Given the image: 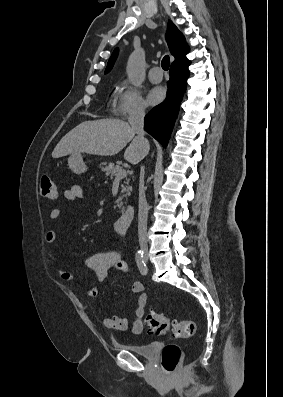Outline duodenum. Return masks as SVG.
I'll use <instances>...</instances> for the list:
<instances>
[{
	"mask_svg": "<svg viewBox=\"0 0 283 397\" xmlns=\"http://www.w3.org/2000/svg\"><path fill=\"white\" fill-rule=\"evenodd\" d=\"M132 217L133 209L128 207L127 210L115 221V231L120 235L126 234L130 228Z\"/></svg>",
	"mask_w": 283,
	"mask_h": 397,
	"instance_id": "1",
	"label": "duodenum"
}]
</instances>
